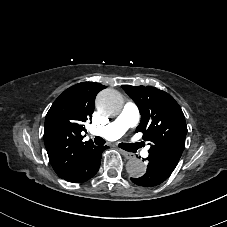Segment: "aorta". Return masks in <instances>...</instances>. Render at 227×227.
<instances>
[{"label":"aorta","instance_id":"obj_1","mask_svg":"<svg viewBox=\"0 0 227 227\" xmlns=\"http://www.w3.org/2000/svg\"><path fill=\"white\" fill-rule=\"evenodd\" d=\"M96 107L105 116L117 115L123 108V98L116 90L106 89L98 94ZM126 169L131 177L139 178L146 173V164L138 158H132L127 162Z\"/></svg>","mask_w":227,"mask_h":227}]
</instances>
